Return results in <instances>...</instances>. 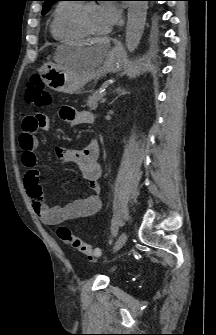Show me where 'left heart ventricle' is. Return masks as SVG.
<instances>
[{
  "label": "left heart ventricle",
  "instance_id": "1",
  "mask_svg": "<svg viewBox=\"0 0 216 335\" xmlns=\"http://www.w3.org/2000/svg\"><path fill=\"white\" fill-rule=\"evenodd\" d=\"M86 17L87 22L93 31L103 32L107 30L100 8L97 4H93L88 8Z\"/></svg>",
  "mask_w": 216,
  "mask_h": 335
}]
</instances>
